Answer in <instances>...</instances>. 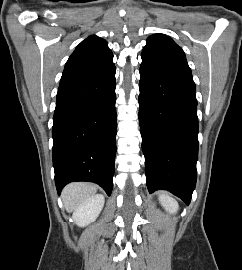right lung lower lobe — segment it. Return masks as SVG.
I'll return each mask as SVG.
<instances>
[{
	"label": "right lung lower lobe",
	"mask_w": 242,
	"mask_h": 270,
	"mask_svg": "<svg viewBox=\"0 0 242 270\" xmlns=\"http://www.w3.org/2000/svg\"><path fill=\"white\" fill-rule=\"evenodd\" d=\"M116 68L112 61L58 88L53 117V166L58 193L69 182L90 181L108 195L116 154Z\"/></svg>",
	"instance_id": "right-lung-lower-lobe-1"
}]
</instances>
